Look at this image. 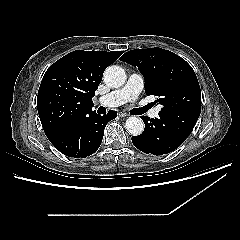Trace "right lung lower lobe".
Listing matches in <instances>:
<instances>
[{"mask_svg": "<svg viewBox=\"0 0 240 240\" xmlns=\"http://www.w3.org/2000/svg\"><path fill=\"white\" fill-rule=\"evenodd\" d=\"M115 117H117V113L114 111H109L103 116L94 112L47 137L55 148L64 155L85 158L99 148L106 124Z\"/></svg>", "mask_w": 240, "mask_h": 240, "instance_id": "1", "label": "right lung lower lobe"}]
</instances>
